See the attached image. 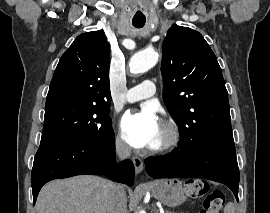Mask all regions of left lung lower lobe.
<instances>
[{"instance_id": "left-lung-lower-lobe-1", "label": "left lung lower lobe", "mask_w": 270, "mask_h": 213, "mask_svg": "<svg viewBox=\"0 0 270 213\" xmlns=\"http://www.w3.org/2000/svg\"><path fill=\"white\" fill-rule=\"evenodd\" d=\"M178 146L171 154L146 159L151 177L213 180L227 185L238 200L239 169L234 141L206 143L185 138Z\"/></svg>"}]
</instances>
